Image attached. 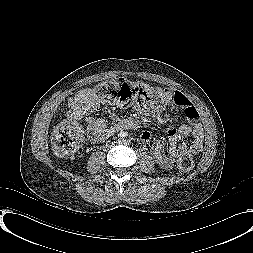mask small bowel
Segmentation results:
<instances>
[{
    "label": "small bowel",
    "mask_w": 253,
    "mask_h": 253,
    "mask_svg": "<svg viewBox=\"0 0 253 253\" xmlns=\"http://www.w3.org/2000/svg\"><path fill=\"white\" fill-rule=\"evenodd\" d=\"M171 95V100L160 106L150 108L147 113L156 120L162 122L166 129L169 138L168 152L164 151L162 141H156L151 148V155L158 166L164 170L172 168L173 163L179 154L183 151H190L193 154L199 153L203 148V129L198 123L199 112L196 106L185 96V94L167 88ZM68 116L73 121H78L85 117L87 123L88 138L92 143H98L115 133L122 128H130L134 124L133 118L122 119L114 112L109 111L108 115L113 123L109 127L105 120L95 116L93 112L97 109L98 104L95 99L94 91L91 88H86L72 95L68 100ZM183 109L184 116L189 123L179 126L174 129L167 121L166 115L170 110ZM192 136V140L188 143L185 139ZM141 140L144 143H150L152 133L144 131L141 135Z\"/></svg>",
    "instance_id": "obj_1"
}]
</instances>
